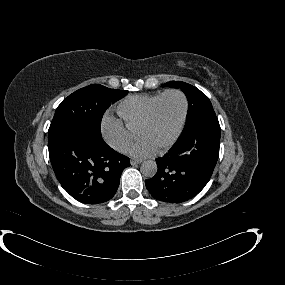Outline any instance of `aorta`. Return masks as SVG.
<instances>
[{
  "instance_id": "aorta-1",
  "label": "aorta",
  "mask_w": 285,
  "mask_h": 285,
  "mask_svg": "<svg viewBox=\"0 0 285 285\" xmlns=\"http://www.w3.org/2000/svg\"><path fill=\"white\" fill-rule=\"evenodd\" d=\"M140 170L144 176L152 178L156 175L158 167L155 161L146 160L141 164Z\"/></svg>"
}]
</instances>
